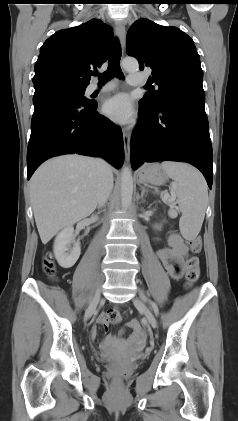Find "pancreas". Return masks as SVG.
<instances>
[{
  "instance_id": "1",
  "label": "pancreas",
  "mask_w": 238,
  "mask_h": 421,
  "mask_svg": "<svg viewBox=\"0 0 238 421\" xmlns=\"http://www.w3.org/2000/svg\"><path fill=\"white\" fill-rule=\"evenodd\" d=\"M162 200L165 204L169 205V206H173L174 202L170 199V198H164V196H162Z\"/></svg>"
}]
</instances>
